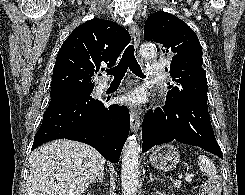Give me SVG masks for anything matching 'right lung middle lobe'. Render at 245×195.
<instances>
[{"mask_svg": "<svg viewBox=\"0 0 245 195\" xmlns=\"http://www.w3.org/2000/svg\"><path fill=\"white\" fill-rule=\"evenodd\" d=\"M91 90L92 88H78V89H72V90L59 92L56 94H50V96H51V100H53V99L61 98V97L80 96V95L90 92Z\"/></svg>", "mask_w": 245, "mask_h": 195, "instance_id": "obj_1", "label": "right lung middle lobe"}]
</instances>
